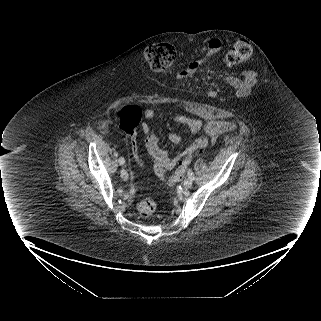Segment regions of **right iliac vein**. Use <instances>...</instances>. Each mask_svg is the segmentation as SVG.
I'll list each match as a JSON object with an SVG mask.
<instances>
[{
	"instance_id": "right-iliac-vein-1",
	"label": "right iliac vein",
	"mask_w": 321,
	"mask_h": 321,
	"mask_svg": "<svg viewBox=\"0 0 321 321\" xmlns=\"http://www.w3.org/2000/svg\"><path fill=\"white\" fill-rule=\"evenodd\" d=\"M121 177H122V179L127 180L128 177H129L127 171L122 170L121 171Z\"/></svg>"
}]
</instances>
